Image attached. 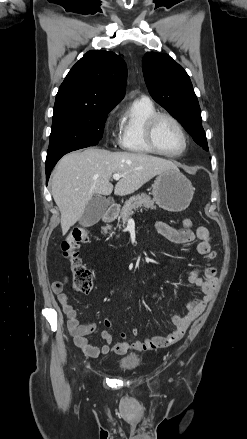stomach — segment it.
I'll list each match as a JSON object with an SVG mask.
<instances>
[{"mask_svg":"<svg viewBox=\"0 0 247 439\" xmlns=\"http://www.w3.org/2000/svg\"><path fill=\"white\" fill-rule=\"evenodd\" d=\"M152 189L153 200L170 212L185 210L194 194L191 182L176 169H168L157 175Z\"/></svg>","mask_w":247,"mask_h":439,"instance_id":"1","label":"stomach"}]
</instances>
